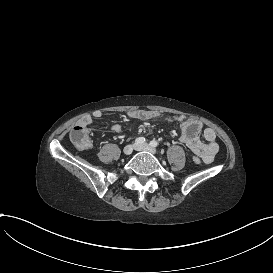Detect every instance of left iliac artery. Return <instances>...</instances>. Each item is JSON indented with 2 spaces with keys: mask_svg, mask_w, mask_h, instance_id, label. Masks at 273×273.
Returning a JSON list of instances; mask_svg holds the SVG:
<instances>
[{
  "mask_svg": "<svg viewBox=\"0 0 273 273\" xmlns=\"http://www.w3.org/2000/svg\"><path fill=\"white\" fill-rule=\"evenodd\" d=\"M150 145H151L152 147H157L159 144H158L157 141L152 140V141L150 142Z\"/></svg>",
  "mask_w": 273,
  "mask_h": 273,
  "instance_id": "obj_1",
  "label": "left iliac artery"
}]
</instances>
